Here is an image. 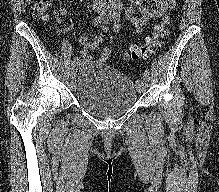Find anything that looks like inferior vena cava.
<instances>
[{"label": "inferior vena cava", "instance_id": "inferior-vena-cava-1", "mask_svg": "<svg viewBox=\"0 0 219 192\" xmlns=\"http://www.w3.org/2000/svg\"><path fill=\"white\" fill-rule=\"evenodd\" d=\"M99 1H101V2H105L106 0H99Z\"/></svg>", "mask_w": 219, "mask_h": 192}]
</instances>
